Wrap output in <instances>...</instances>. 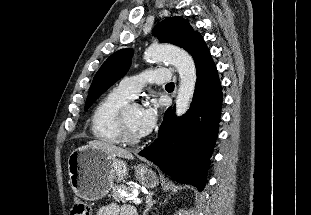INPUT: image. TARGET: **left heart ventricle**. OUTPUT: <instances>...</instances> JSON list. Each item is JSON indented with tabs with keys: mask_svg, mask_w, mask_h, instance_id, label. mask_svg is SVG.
I'll return each instance as SVG.
<instances>
[{
	"mask_svg": "<svg viewBox=\"0 0 311 215\" xmlns=\"http://www.w3.org/2000/svg\"><path fill=\"white\" fill-rule=\"evenodd\" d=\"M140 107L139 106H133L131 107L126 115V121H127V125L129 128V131L131 132V134L135 137L140 138L137 130H136V123H137V119L140 113Z\"/></svg>",
	"mask_w": 311,
	"mask_h": 215,
	"instance_id": "left-heart-ventricle-1",
	"label": "left heart ventricle"
}]
</instances>
